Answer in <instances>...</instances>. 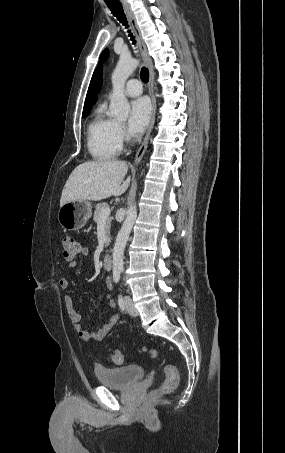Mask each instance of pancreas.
Listing matches in <instances>:
<instances>
[{"instance_id": "pancreas-1", "label": "pancreas", "mask_w": 285, "mask_h": 453, "mask_svg": "<svg viewBox=\"0 0 285 453\" xmlns=\"http://www.w3.org/2000/svg\"><path fill=\"white\" fill-rule=\"evenodd\" d=\"M106 208H109V205L108 203H98L95 207V212H94V216H93V220L95 222H98L99 218H100V215H101V212L103 209H106ZM111 221L112 219L110 217L107 218V222H106V234H107V237L109 238V235H110V228H111ZM107 246V244H106Z\"/></svg>"}]
</instances>
